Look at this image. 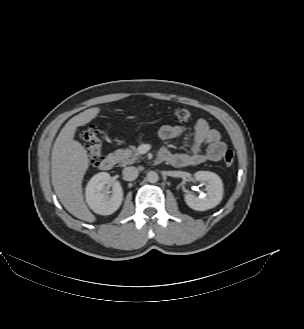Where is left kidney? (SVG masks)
<instances>
[{"label": "left kidney", "instance_id": "5707ae66", "mask_svg": "<svg viewBox=\"0 0 304 329\" xmlns=\"http://www.w3.org/2000/svg\"><path fill=\"white\" fill-rule=\"evenodd\" d=\"M196 181L206 182V194L195 196L194 194H185L186 204L197 211H205L217 206L223 197V183L220 177L209 171H198L194 174Z\"/></svg>", "mask_w": 304, "mask_h": 329}]
</instances>
